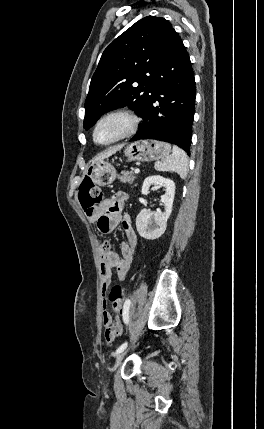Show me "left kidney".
Returning a JSON list of instances; mask_svg holds the SVG:
<instances>
[{
	"label": "left kidney",
	"instance_id": "1",
	"mask_svg": "<svg viewBox=\"0 0 264 429\" xmlns=\"http://www.w3.org/2000/svg\"><path fill=\"white\" fill-rule=\"evenodd\" d=\"M151 185L165 187L166 193L161 196V201L165 206L164 212L150 211L143 209L136 218V228L139 235L148 240H155L161 237L167 227V220L172 212V205L175 195V184L172 180L159 175L147 177L142 185L141 193L147 195Z\"/></svg>",
	"mask_w": 264,
	"mask_h": 429
}]
</instances>
